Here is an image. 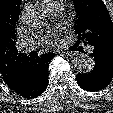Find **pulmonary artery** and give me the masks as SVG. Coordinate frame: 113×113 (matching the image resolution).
Wrapping results in <instances>:
<instances>
[{
    "label": "pulmonary artery",
    "instance_id": "pulmonary-artery-1",
    "mask_svg": "<svg viewBox=\"0 0 113 113\" xmlns=\"http://www.w3.org/2000/svg\"><path fill=\"white\" fill-rule=\"evenodd\" d=\"M61 3L57 2L54 5L48 7V12L52 15V16H56L61 12ZM38 41L34 40V39H29L26 40L23 44H22V50L25 52H30L35 50L38 47Z\"/></svg>",
    "mask_w": 113,
    "mask_h": 113
}]
</instances>
